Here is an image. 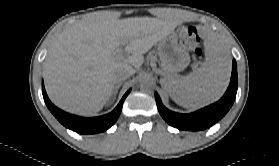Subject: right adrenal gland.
Wrapping results in <instances>:
<instances>
[{
    "mask_svg": "<svg viewBox=\"0 0 279 166\" xmlns=\"http://www.w3.org/2000/svg\"><path fill=\"white\" fill-rule=\"evenodd\" d=\"M121 84H122V83H118V84L115 86V89H114V91H113V95H116V94H117V92H118V90H119Z\"/></svg>",
    "mask_w": 279,
    "mask_h": 166,
    "instance_id": "right-adrenal-gland-1",
    "label": "right adrenal gland"
}]
</instances>
